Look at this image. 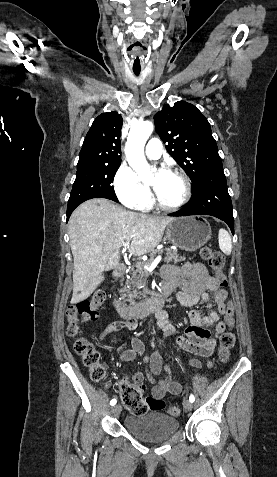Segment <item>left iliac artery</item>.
<instances>
[{
    "label": "left iliac artery",
    "mask_w": 277,
    "mask_h": 477,
    "mask_svg": "<svg viewBox=\"0 0 277 477\" xmlns=\"http://www.w3.org/2000/svg\"><path fill=\"white\" fill-rule=\"evenodd\" d=\"M189 400L193 403L195 401V397L193 395H190Z\"/></svg>",
    "instance_id": "left-iliac-artery-1"
}]
</instances>
